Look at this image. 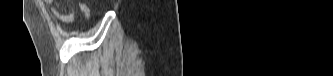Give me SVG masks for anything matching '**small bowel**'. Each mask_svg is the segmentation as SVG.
I'll use <instances>...</instances> for the list:
<instances>
[{
  "label": "small bowel",
  "instance_id": "c3829d8e",
  "mask_svg": "<svg viewBox=\"0 0 333 76\" xmlns=\"http://www.w3.org/2000/svg\"><path fill=\"white\" fill-rule=\"evenodd\" d=\"M47 4H53L54 1H51V0H48L46 1ZM75 6H76V9L70 11V12H67V13H62V12H59L56 8L54 7H51L50 8V11L51 13L61 22L63 23H70L74 20L75 18V15H76V10L79 9L81 12H83L85 15H89L90 13V8L89 6L84 3V2H81V1H77L75 3Z\"/></svg>",
  "mask_w": 333,
  "mask_h": 76
}]
</instances>
